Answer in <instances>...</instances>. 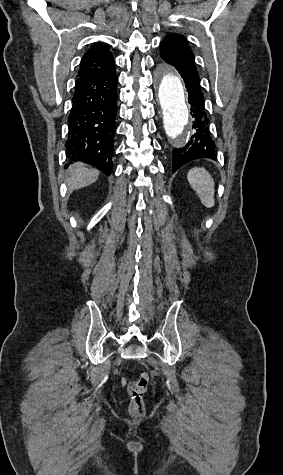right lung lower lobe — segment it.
Instances as JSON below:
<instances>
[{"instance_id": "98d812e1", "label": "right lung lower lobe", "mask_w": 283, "mask_h": 475, "mask_svg": "<svg viewBox=\"0 0 283 475\" xmlns=\"http://www.w3.org/2000/svg\"><path fill=\"white\" fill-rule=\"evenodd\" d=\"M117 82L115 67L104 73L77 76L65 144L69 160L91 164L107 176L112 172Z\"/></svg>"}]
</instances>
